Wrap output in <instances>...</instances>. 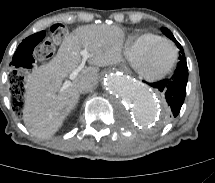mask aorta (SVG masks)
I'll return each instance as SVG.
<instances>
[{
	"label": "aorta",
	"mask_w": 215,
	"mask_h": 183,
	"mask_svg": "<svg viewBox=\"0 0 215 183\" xmlns=\"http://www.w3.org/2000/svg\"><path fill=\"white\" fill-rule=\"evenodd\" d=\"M103 86L119 103L128 106L137 123L143 126L157 124L163 116V108L156 97L142 84L120 72H107Z\"/></svg>",
	"instance_id": "aorta-1"
}]
</instances>
